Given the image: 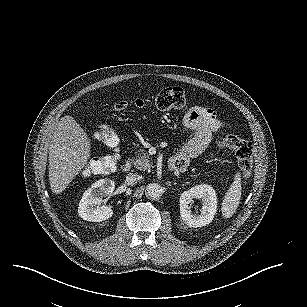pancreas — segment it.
Masks as SVG:
<instances>
[{
    "label": "pancreas",
    "mask_w": 307,
    "mask_h": 307,
    "mask_svg": "<svg viewBox=\"0 0 307 307\" xmlns=\"http://www.w3.org/2000/svg\"><path fill=\"white\" fill-rule=\"evenodd\" d=\"M128 160L133 164L135 169L140 171L149 170L153 167L150 155L142 148L134 157H129Z\"/></svg>",
    "instance_id": "1"
}]
</instances>
